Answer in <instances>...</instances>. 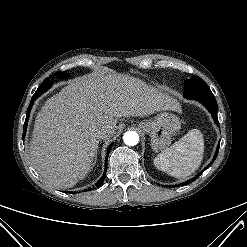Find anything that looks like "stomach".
Listing matches in <instances>:
<instances>
[{
	"label": "stomach",
	"instance_id": "0dacf381",
	"mask_svg": "<svg viewBox=\"0 0 247 247\" xmlns=\"http://www.w3.org/2000/svg\"><path fill=\"white\" fill-rule=\"evenodd\" d=\"M139 127L149 134L152 150L159 151L167 149L171 144L172 136L181 128V122L176 115L162 112L157 114L153 120L139 123Z\"/></svg>",
	"mask_w": 247,
	"mask_h": 247
}]
</instances>
